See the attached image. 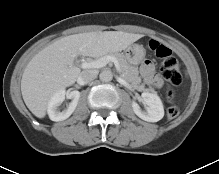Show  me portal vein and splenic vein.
I'll return each mask as SVG.
<instances>
[{
  "label": "portal vein and splenic vein",
  "mask_w": 219,
  "mask_h": 174,
  "mask_svg": "<svg viewBox=\"0 0 219 174\" xmlns=\"http://www.w3.org/2000/svg\"><path fill=\"white\" fill-rule=\"evenodd\" d=\"M109 62H113L117 71H120V65H119L118 60L114 56H111V55L103 56L91 62L84 61L81 63V68L83 69L101 68V67L106 66Z\"/></svg>",
  "instance_id": "1"
}]
</instances>
